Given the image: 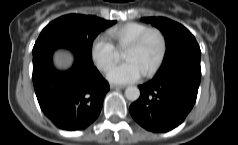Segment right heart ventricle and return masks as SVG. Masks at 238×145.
<instances>
[{
    "label": "right heart ventricle",
    "mask_w": 238,
    "mask_h": 145,
    "mask_svg": "<svg viewBox=\"0 0 238 145\" xmlns=\"http://www.w3.org/2000/svg\"><path fill=\"white\" fill-rule=\"evenodd\" d=\"M150 27L144 23L128 22L108 31V35L116 42L119 48H126L139 35Z\"/></svg>",
    "instance_id": "obj_1"
}]
</instances>
